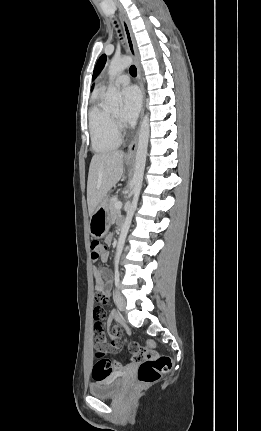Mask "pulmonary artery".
<instances>
[{
	"instance_id": "obj_1",
	"label": "pulmonary artery",
	"mask_w": 261,
	"mask_h": 431,
	"mask_svg": "<svg viewBox=\"0 0 261 431\" xmlns=\"http://www.w3.org/2000/svg\"><path fill=\"white\" fill-rule=\"evenodd\" d=\"M129 81V76L126 74H121L114 79V83L118 85H127Z\"/></svg>"
}]
</instances>
